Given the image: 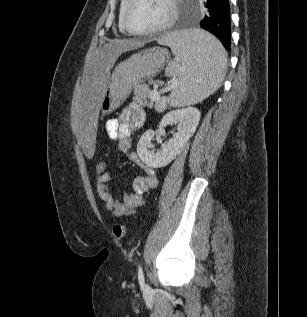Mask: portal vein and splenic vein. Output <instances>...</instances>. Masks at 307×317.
I'll return each mask as SVG.
<instances>
[{
    "mask_svg": "<svg viewBox=\"0 0 307 317\" xmlns=\"http://www.w3.org/2000/svg\"><path fill=\"white\" fill-rule=\"evenodd\" d=\"M176 85H177V82H173L171 85L166 86V87L163 89V92L165 93V92H167V91H170L171 89H174ZM150 98H151V100H153V101H158V100L160 99V94H159V92H158L156 89L152 90V91L150 92Z\"/></svg>",
    "mask_w": 307,
    "mask_h": 317,
    "instance_id": "obj_1",
    "label": "portal vein and splenic vein"
}]
</instances>
